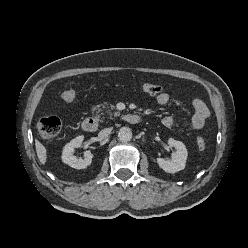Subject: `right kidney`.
<instances>
[{
    "label": "right kidney",
    "instance_id": "1",
    "mask_svg": "<svg viewBox=\"0 0 248 248\" xmlns=\"http://www.w3.org/2000/svg\"><path fill=\"white\" fill-rule=\"evenodd\" d=\"M83 139V136L76 137L67 143L62 151V161L75 169H85L92 162L93 154L89 150L84 152V159H78L73 155L74 149L81 147Z\"/></svg>",
    "mask_w": 248,
    "mask_h": 248
}]
</instances>
